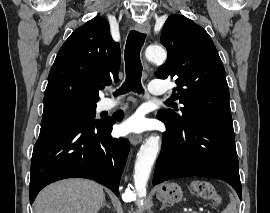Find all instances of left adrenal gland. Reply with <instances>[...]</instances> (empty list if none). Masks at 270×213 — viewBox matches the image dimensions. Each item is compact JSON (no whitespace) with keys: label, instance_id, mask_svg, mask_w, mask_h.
<instances>
[{"label":"left adrenal gland","instance_id":"obj_1","mask_svg":"<svg viewBox=\"0 0 270 213\" xmlns=\"http://www.w3.org/2000/svg\"><path fill=\"white\" fill-rule=\"evenodd\" d=\"M166 206L167 205L163 203L162 206H161V208H160V210H163L164 208H166Z\"/></svg>","mask_w":270,"mask_h":213}]
</instances>
